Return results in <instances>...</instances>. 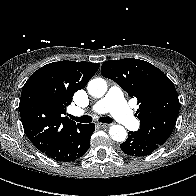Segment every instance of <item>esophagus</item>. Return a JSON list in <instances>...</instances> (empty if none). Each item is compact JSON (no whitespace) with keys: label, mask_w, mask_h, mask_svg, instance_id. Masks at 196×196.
Wrapping results in <instances>:
<instances>
[{"label":"esophagus","mask_w":196,"mask_h":196,"mask_svg":"<svg viewBox=\"0 0 196 196\" xmlns=\"http://www.w3.org/2000/svg\"><path fill=\"white\" fill-rule=\"evenodd\" d=\"M111 124H105V123H99V126L103 127V128H107L109 127Z\"/></svg>","instance_id":"esophagus-1"}]
</instances>
